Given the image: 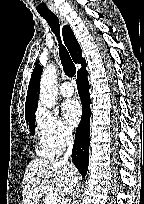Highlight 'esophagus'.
Segmentation results:
<instances>
[{
    "label": "esophagus",
    "instance_id": "34e87169",
    "mask_svg": "<svg viewBox=\"0 0 144 204\" xmlns=\"http://www.w3.org/2000/svg\"><path fill=\"white\" fill-rule=\"evenodd\" d=\"M54 13H55L56 16L59 18L60 22H61L63 25H66V24H67L66 19L62 16V14H61L59 11H54Z\"/></svg>",
    "mask_w": 144,
    "mask_h": 204
}]
</instances>
